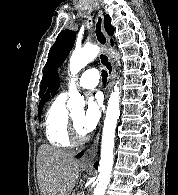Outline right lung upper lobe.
Here are the masks:
<instances>
[{
	"label": "right lung upper lobe",
	"instance_id": "cb5924a9",
	"mask_svg": "<svg viewBox=\"0 0 178 195\" xmlns=\"http://www.w3.org/2000/svg\"><path fill=\"white\" fill-rule=\"evenodd\" d=\"M111 44L112 45L114 44L113 40H111ZM59 86H60V78H59L58 72L56 71V72H54V75L51 79L49 90L45 94V96L41 99L39 107L45 104V102L50 97V93L54 94L58 90Z\"/></svg>",
	"mask_w": 178,
	"mask_h": 195
}]
</instances>
